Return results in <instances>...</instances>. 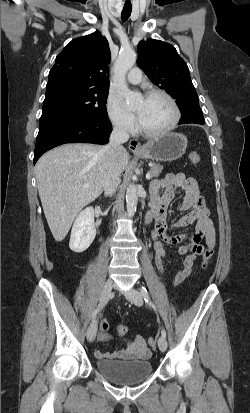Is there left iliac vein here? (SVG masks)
Masks as SVG:
<instances>
[{
  "instance_id": "obj_1",
  "label": "left iliac vein",
  "mask_w": 250,
  "mask_h": 413,
  "mask_svg": "<svg viewBox=\"0 0 250 413\" xmlns=\"http://www.w3.org/2000/svg\"><path fill=\"white\" fill-rule=\"evenodd\" d=\"M125 295L131 303L137 306H141L143 304L142 294L138 290L131 289L130 291L126 292ZM158 347L162 352H164L167 349V340L165 337L163 336L159 337Z\"/></svg>"
}]
</instances>
